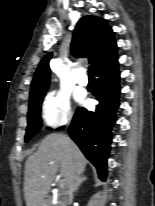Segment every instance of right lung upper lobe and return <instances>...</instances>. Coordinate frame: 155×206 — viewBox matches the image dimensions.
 Returning a JSON list of instances; mask_svg holds the SVG:
<instances>
[{"instance_id":"right-lung-upper-lobe-1","label":"right lung upper lobe","mask_w":155,"mask_h":206,"mask_svg":"<svg viewBox=\"0 0 155 206\" xmlns=\"http://www.w3.org/2000/svg\"><path fill=\"white\" fill-rule=\"evenodd\" d=\"M71 51L76 57L89 58L96 75L118 58L112 29L104 19L95 16H85L79 20L74 31ZM51 57L52 53H48L40 62L32 81L30 97L48 89Z\"/></svg>"}]
</instances>
